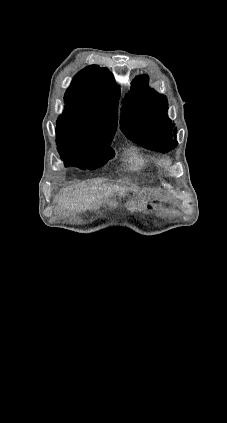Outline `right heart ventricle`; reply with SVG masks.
Here are the masks:
<instances>
[{
    "mask_svg": "<svg viewBox=\"0 0 227 423\" xmlns=\"http://www.w3.org/2000/svg\"><path fill=\"white\" fill-rule=\"evenodd\" d=\"M126 164L128 170L138 172L150 164L157 165L158 161L145 157L137 148H131L127 153Z\"/></svg>",
    "mask_w": 227,
    "mask_h": 423,
    "instance_id": "right-heart-ventricle-1",
    "label": "right heart ventricle"
}]
</instances>
